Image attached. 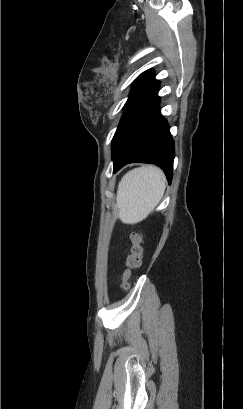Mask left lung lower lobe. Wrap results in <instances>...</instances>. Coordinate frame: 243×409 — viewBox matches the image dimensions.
I'll return each mask as SVG.
<instances>
[{"label":"left lung lower lobe","instance_id":"1","mask_svg":"<svg viewBox=\"0 0 243 409\" xmlns=\"http://www.w3.org/2000/svg\"><path fill=\"white\" fill-rule=\"evenodd\" d=\"M158 89L159 83L153 77L125 110L114 135L118 154L113 173L128 163H151L164 171L170 184L174 142L158 108Z\"/></svg>","mask_w":243,"mask_h":409}]
</instances>
